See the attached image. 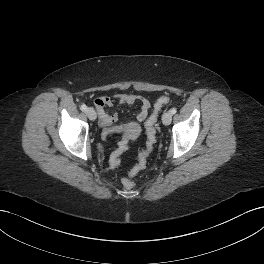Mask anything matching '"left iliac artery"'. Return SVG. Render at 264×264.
Instances as JSON below:
<instances>
[{
    "label": "left iliac artery",
    "instance_id": "left-iliac-artery-1",
    "mask_svg": "<svg viewBox=\"0 0 264 264\" xmlns=\"http://www.w3.org/2000/svg\"><path fill=\"white\" fill-rule=\"evenodd\" d=\"M170 111H171L172 114H175L177 112V109L176 108H172Z\"/></svg>",
    "mask_w": 264,
    "mask_h": 264
}]
</instances>
